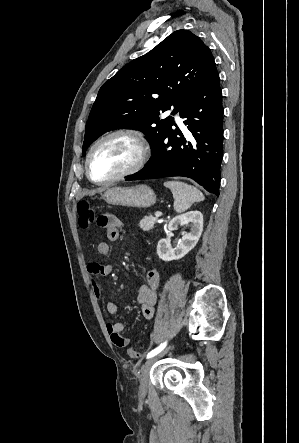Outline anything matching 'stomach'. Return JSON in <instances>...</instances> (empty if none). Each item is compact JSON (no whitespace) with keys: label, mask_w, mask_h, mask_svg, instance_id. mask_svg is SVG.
I'll use <instances>...</instances> for the list:
<instances>
[{"label":"stomach","mask_w":299,"mask_h":443,"mask_svg":"<svg viewBox=\"0 0 299 443\" xmlns=\"http://www.w3.org/2000/svg\"><path fill=\"white\" fill-rule=\"evenodd\" d=\"M103 199L111 205L147 208L156 201L154 191L146 185L135 187H111L103 195Z\"/></svg>","instance_id":"stomach-1"}]
</instances>
